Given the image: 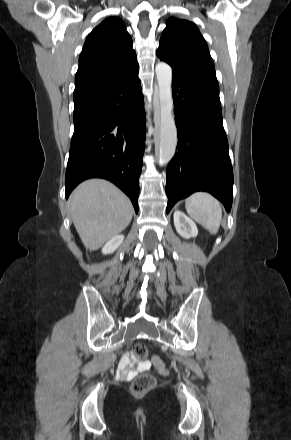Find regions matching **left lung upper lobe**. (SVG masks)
I'll list each match as a JSON object with an SVG mask.
<instances>
[{"label":"left lung upper lobe","mask_w":291,"mask_h":440,"mask_svg":"<svg viewBox=\"0 0 291 440\" xmlns=\"http://www.w3.org/2000/svg\"><path fill=\"white\" fill-rule=\"evenodd\" d=\"M157 56L173 70L217 82L207 43L192 22L171 17L161 36Z\"/></svg>","instance_id":"5c2ea615"}]
</instances>
